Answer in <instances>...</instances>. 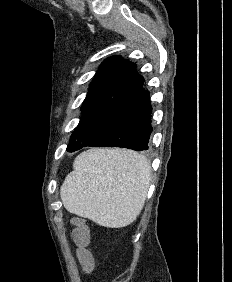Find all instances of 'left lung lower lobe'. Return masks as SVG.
Returning a JSON list of instances; mask_svg holds the SVG:
<instances>
[{
  "label": "left lung lower lobe",
  "mask_w": 232,
  "mask_h": 282,
  "mask_svg": "<svg viewBox=\"0 0 232 282\" xmlns=\"http://www.w3.org/2000/svg\"><path fill=\"white\" fill-rule=\"evenodd\" d=\"M143 81L135 70L99 115L90 138L67 150L74 152L87 146L147 150L152 107L149 92L142 88Z\"/></svg>",
  "instance_id": "left-lung-lower-lobe-1"
}]
</instances>
